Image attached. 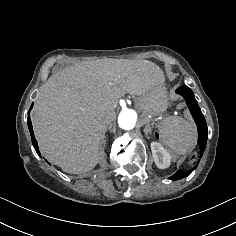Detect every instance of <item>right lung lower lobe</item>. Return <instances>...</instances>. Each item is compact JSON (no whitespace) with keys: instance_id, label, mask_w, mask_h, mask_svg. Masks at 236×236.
Here are the masks:
<instances>
[{"instance_id":"1","label":"right lung lower lobe","mask_w":236,"mask_h":236,"mask_svg":"<svg viewBox=\"0 0 236 236\" xmlns=\"http://www.w3.org/2000/svg\"><path fill=\"white\" fill-rule=\"evenodd\" d=\"M32 106H33V105H32ZM32 106H31V108H32ZM31 108H30V110H31ZM30 110H29V112H28V120H27V122H28V127H29V131H30V134H31L32 144H33V146H34L36 152H37L38 154H40V153H39V150H38L37 141H36V139H35V137H34V134H33L32 123H31L30 115H29V114H30Z\"/></svg>"}]
</instances>
